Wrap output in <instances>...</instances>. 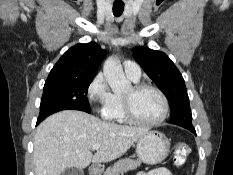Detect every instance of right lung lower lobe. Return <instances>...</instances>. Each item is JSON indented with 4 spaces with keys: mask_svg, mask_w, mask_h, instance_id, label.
<instances>
[{
    "mask_svg": "<svg viewBox=\"0 0 233 175\" xmlns=\"http://www.w3.org/2000/svg\"><path fill=\"white\" fill-rule=\"evenodd\" d=\"M44 119H38L37 120V124L36 125H38L40 122H42Z\"/></svg>",
    "mask_w": 233,
    "mask_h": 175,
    "instance_id": "right-lung-lower-lobe-1",
    "label": "right lung lower lobe"
}]
</instances>
